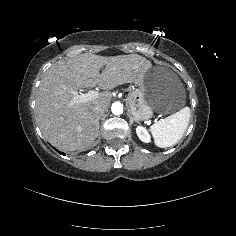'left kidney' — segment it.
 I'll use <instances>...</instances> for the list:
<instances>
[{
    "label": "left kidney",
    "mask_w": 236,
    "mask_h": 236,
    "mask_svg": "<svg viewBox=\"0 0 236 236\" xmlns=\"http://www.w3.org/2000/svg\"><path fill=\"white\" fill-rule=\"evenodd\" d=\"M136 133L141 141L145 143H149L151 141L148 131L143 126H138L136 128Z\"/></svg>",
    "instance_id": "5707ae66"
}]
</instances>
